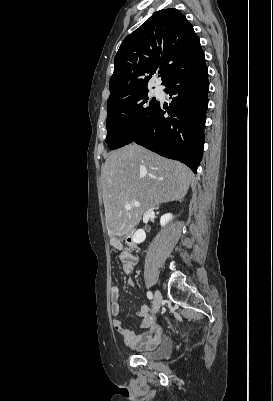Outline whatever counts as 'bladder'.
Returning a JSON list of instances; mask_svg holds the SVG:
<instances>
[{
  "label": "bladder",
  "mask_w": 273,
  "mask_h": 401,
  "mask_svg": "<svg viewBox=\"0 0 273 401\" xmlns=\"http://www.w3.org/2000/svg\"><path fill=\"white\" fill-rule=\"evenodd\" d=\"M174 351V342L170 337H163L158 348L153 352H142L143 356L147 360H161L170 356Z\"/></svg>",
  "instance_id": "bladder-1"
}]
</instances>
